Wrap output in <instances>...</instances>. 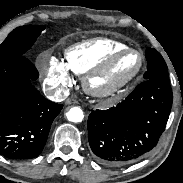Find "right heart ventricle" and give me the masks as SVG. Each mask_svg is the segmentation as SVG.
<instances>
[{
  "label": "right heart ventricle",
  "mask_w": 183,
  "mask_h": 183,
  "mask_svg": "<svg viewBox=\"0 0 183 183\" xmlns=\"http://www.w3.org/2000/svg\"><path fill=\"white\" fill-rule=\"evenodd\" d=\"M124 43L109 38H94L69 46L64 51L63 64L67 70L84 75Z\"/></svg>",
  "instance_id": "e07e8e85"
}]
</instances>
